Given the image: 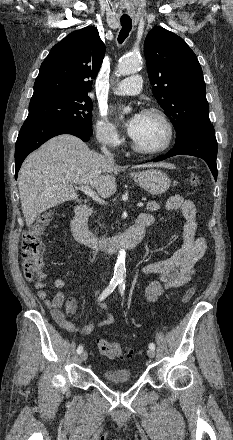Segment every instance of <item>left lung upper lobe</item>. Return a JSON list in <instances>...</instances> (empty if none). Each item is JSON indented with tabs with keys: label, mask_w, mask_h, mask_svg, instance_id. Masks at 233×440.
Masks as SVG:
<instances>
[{
	"label": "left lung upper lobe",
	"mask_w": 233,
	"mask_h": 440,
	"mask_svg": "<svg viewBox=\"0 0 233 440\" xmlns=\"http://www.w3.org/2000/svg\"><path fill=\"white\" fill-rule=\"evenodd\" d=\"M144 54L153 94L176 129V141L210 125L203 72L185 41L154 27L146 36Z\"/></svg>",
	"instance_id": "5c2ea615"
}]
</instances>
